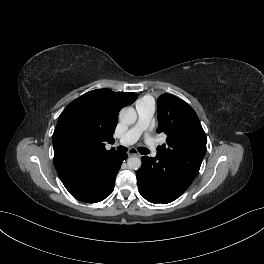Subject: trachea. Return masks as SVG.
I'll use <instances>...</instances> for the list:
<instances>
[{
    "instance_id": "obj_1",
    "label": "trachea",
    "mask_w": 264,
    "mask_h": 264,
    "mask_svg": "<svg viewBox=\"0 0 264 264\" xmlns=\"http://www.w3.org/2000/svg\"><path fill=\"white\" fill-rule=\"evenodd\" d=\"M117 150H118L119 152H122V153L127 152V148H126V147H123V146H118V147H117ZM138 151H139L141 154H144V155L149 154V150H148L147 148H145V147H140V148L138 149Z\"/></svg>"
}]
</instances>
